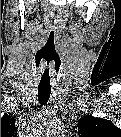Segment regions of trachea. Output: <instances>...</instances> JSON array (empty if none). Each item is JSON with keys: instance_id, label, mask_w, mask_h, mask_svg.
I'll return each instance as SVG.
<instances>
[{"instance_id": "trachea-1", "label": "trachea", "mask_w": 121, "mask_h": 137, "mask_svg": "<svg viewBox=\"0 0 121 137\" xmlns=\"http://www.w3.org/2000/svg\"><path fill=\"white\" fill-rule=\"evenodd\" d=\"M57 29L53 25L49 31L47 42L43 52V63L40 71L38 86V99L41 105H45L51 94V70L56 59Z\"/></svg>"}]
</instances>
